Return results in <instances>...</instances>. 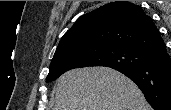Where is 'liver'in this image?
Wrapping results in <instances>:
<instances>
[{
    "label": "liver",
    "instance_id": "1",
    "mask_svg": "<svg viewBox=\"0 0 171 110\" xmlns=\"http://www.w3.org/2000/svg\"><path fill=\"white\" fill-rule=\"evenodd\" d=\"M53 110H152L137 85L107 67L65 72L57 79Z\"/></svg>",
    "mask_w": 171,
    "mask_h": 110
}]
</instances>
